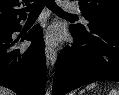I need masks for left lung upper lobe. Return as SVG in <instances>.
<instances>
[{
	"label": "left lung upper lobe",
	"instance_id": "left-lung-upper-lobe-1",
	"mask_svg": "<svg viewBox=\"0 0 119 95\" xmlns=\"http://www.w3.org/2000/svg\"><path fill=\"white\" fill-rule=\"evenodd\" d=\"M82 15L89 21L87 27L77 24L79 30L88 27L119 29V0H76Z\"/></svg>",
	"mask_w": 119,
	"mask_h": 95
}]
</instances>
